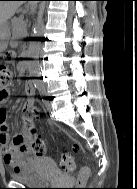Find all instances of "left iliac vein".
<instances>
[{"label": "left iliac vein", "mask_w": 137, "mask_h": 189, "mask_svg": "<svg viewBox=\"0 0 137 189\" xmlns=\"http://www.w3.org/2000/svg\"><path fill=\"white\" fill-rule=\"evenodd\" d=\"M44 105H45V108H46L47 110H50V109H51V102H50V101H45V102H44Z\"/></svg>", "instance_id": "1"}]
</instances>
